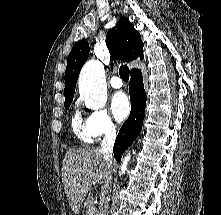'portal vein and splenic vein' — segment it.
<instances>
[{"label": "portal vein and splenic vein", "instance_id": "portal-vein-and-splenic-vein-1", "mask_svg": "<svg viewBox=\"0 0 221 215\" xmlns=\"http://www.w3.org/2000/svg\"><path fill=\"white\" fill-rule=\"evenodd\" d=\"M96 207L95 206H91L88 209V215H93V213L96 211Z\"/></svg>", "mask_w": 221, "mask_h": 215}]
</instances>
